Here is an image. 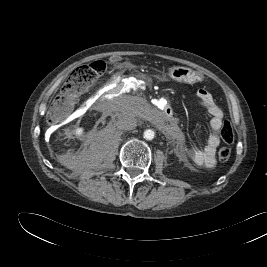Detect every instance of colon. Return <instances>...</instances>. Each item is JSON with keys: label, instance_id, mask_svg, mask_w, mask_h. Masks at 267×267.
Wrapping results in <instances>:
<instances>
[{"label": "colon", "instance_id": "colon-1", "mask_svg": "<svg viewBox=\"0 0 267 267\" xmlns=\"http://www.w3.org/2000/svg\"><path fill=\"white\" fill-rule=\"evenodd\" d=\"M105 69L106 64L103 61L81 65L74 69L65 81L59 96L53 102L48 112V121L56 124L66 118L74 109L79 95L90 87ZM220 134L225 143L229 144L234 141V130L229 122L223 123ZM230 156L231 150L228 147H222L218 152L221 162H227Z\"/></svg>", "mask_w": 267, "mask_h": 267}]
</instances>
